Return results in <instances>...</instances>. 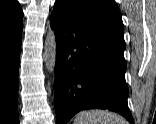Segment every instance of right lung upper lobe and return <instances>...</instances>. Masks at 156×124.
I'll use <instances>...</instances> for the list:
<instances>
[{"label":"right lung upper lobe","instance_id":"obj_1","mask_svg":"<svg viewBox=\"0 0 156 124\" xmlns=\"http://www.w3.org/2000/svg\"><path fill=\"white\" fill-rule=\"evenodd\" d=\"M23 12L16 0H0V30L22 27Z\"/></svg>","mask_w":156,"mask_h":124}]
</instances>
